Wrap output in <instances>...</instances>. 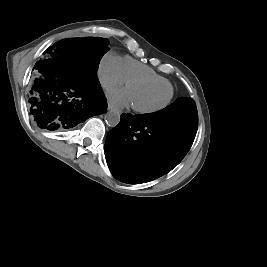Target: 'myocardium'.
Masks as SVG:
<instances>
[{
  "label": "myocardium",
  "mask_w": 267,
  "mask_h": 267,
  "mask_svg": "<svg viewBox=\"0 0 267 267\" xmlns=\"http://www.w3.org/2000/svg\"><path fill=\"white\" fill-rule=\"evenodd\" d=\"M133 83H153L156 85H165V86H168L170 88V91H171L168 99L160 105L153 106V107H138V106L132 105V109L138 113L150 114V113L158 112V111L166 108L173 100L174 88L171 84H164L161 81H157V80H155L153 78H149V77H132V78L127 80L126 86L128 87L129 85H131Z\"/></svg>",
  "instance_id": "obj_1"
}]
</instances>
